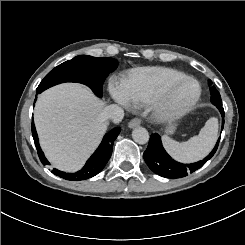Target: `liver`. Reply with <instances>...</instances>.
Masks as SVG:
<instances>
[{"label": "liver", "instance_id": "obj_1", "mask_svg": "<svg viewBox=\"0 0 245 245\" xmlns=\"http://www.w3.org/2000/svg\"><path fill=\"white\" fill-rule=\"evenodd\" d=\"M108 104L86 85L64 82L37 97L33 114L39 145L52 167L80 171L108 130L99 114Z\"/></svg>", "mask_w": 245, "mask_h": 245}]
</instances>
